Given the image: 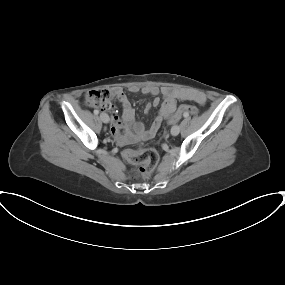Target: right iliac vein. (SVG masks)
Listing matches in <instances>:
<instances>
[{"mask_svg": "<svg viewBox=\"0 0 285 285\" xmlns=\"http://www.w3.org/2000/svg\"><path fill=\"white\" fill-rule=\"evenodd\" d=\"M100 119L104 123H108L110 121V118H109V116L106 113H101L100 114Z\"/></svg>", "mask_w": 285, "mask_h": 285, "instance_id": "1", "label": "right iliac vein"}]
</instances>
